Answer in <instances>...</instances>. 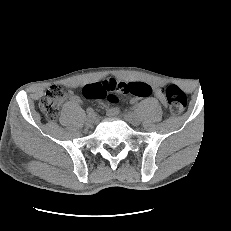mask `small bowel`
Wrapping results in <instances>:
<instances>
[{"instance_id": "small-bowel-1", "label": "small bowel", "mask_w": 231, "mask_h": 231, "mask_svg": "<svg viewBox=\"0 0 231 231\" xmlns=\"http://www.w3.org/2000/svg\"><path fill=\"white\" fill-rule=\"evenodd\" d=\"M150 87H151V90L153 91L155 97L158 98L162 103H165L164 93H163V90H162L161 86L154 83ZM139 98L140 97H138V96H133L131 101L136 102ZM69 101L72 102V103H79L80 99H79V97L77 95L71 94L70 97H69ZM117 112H118V109L116 107L108 108V113L110 115H114Z\"/></svg>"}]
</instances>
